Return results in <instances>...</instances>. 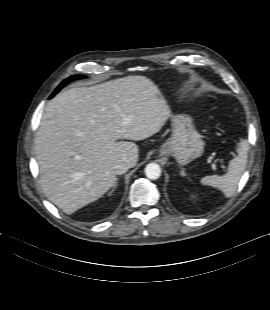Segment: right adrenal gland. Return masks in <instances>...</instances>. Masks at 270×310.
Masks as SVG:
<instances>
[{"instance_id":"2a0ac1e0","label":"right adrenal gland","mask_w":270,"mask_h":310,"mask_svg":"<svg viewBox=\"0 0 270 310\" xmlns=\"http://www.w3.org/2000/svg\"><path fill=\"white\" fill-rule=\"evenodd\" d=\"M117 185H118V178H116V182H115V184L113 186V189L108 193V195H111L114 192V190L116 189Z\"/></svg>"}]
</instances>
